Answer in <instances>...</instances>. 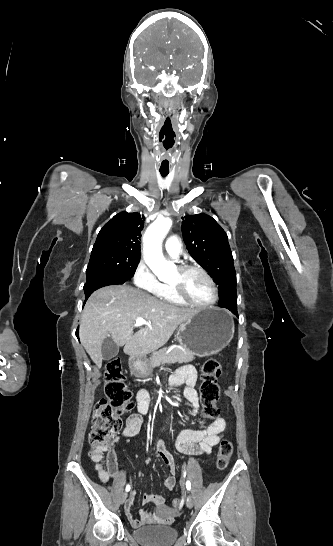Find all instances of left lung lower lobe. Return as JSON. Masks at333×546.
<instances>
[{"instance_id":"obj_1","label":"left lung lower lobe","mask_w":333,"mask_h":546,"mask_svg":"<svg viewBox=\"0 0 333 546\" xmlns=\"http://www.w3.org/2000/svg\"><path fill=\"white\" fill-rule=\"evenodd\" d=\"M220 307H223V308H226L228 310H230L233 314H235L236 316H238V313H237V302L234 303V304H229V305H219Z\"/></svg>"}]
</instances>
